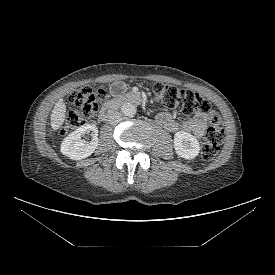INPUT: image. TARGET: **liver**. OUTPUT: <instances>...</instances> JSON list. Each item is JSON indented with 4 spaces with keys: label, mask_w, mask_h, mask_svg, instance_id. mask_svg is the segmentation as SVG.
<instances>
[{
    "label": "liver",
    "mask_w": 275,
    "mask_h": 275,
    "mask_svg": "<svg viewBox=\"0 0 275 275\" xmlns=\"http://www.w3.org/2000/svg\"><path fill=\"white\" fill-rule=\"evenodd\" d=\"M65 116H66V105L63 102V99H59L56 102L50 116L51 127L54 131L58 130L62 126L65 120Z\"/></svg>",
    "instance_id": "liver-1"
}]
</instances>
